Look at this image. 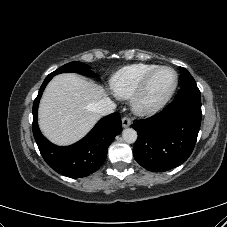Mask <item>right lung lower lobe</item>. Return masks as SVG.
Returning <instances> with one entry per match:
<instances>
[{"label": "right lung lower lobe", "instance_id": "right-lung-lower-lobe-1", "mask_svg": "<svg viewBox=\"0 0 227 227\" xmlns=\"http://www.w3.org/2000/svg\"><path fill=\"white\" fill-rule=\"evenodd\" d=\"M53 76L48 75L40 87L33 104V135L46 163L61 175L81 178L97 171L104 163L107 149L122 124L118 112L102 118L95 127L79 142L60 147L49 142L40 132L37 123V110L42 93Z\"/></svg>", "mask_w": 227, "mask_h": 227}]
</instances>
